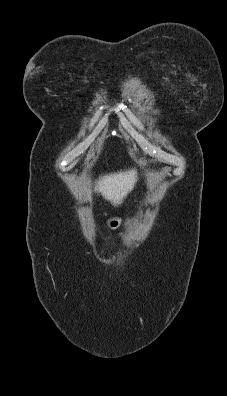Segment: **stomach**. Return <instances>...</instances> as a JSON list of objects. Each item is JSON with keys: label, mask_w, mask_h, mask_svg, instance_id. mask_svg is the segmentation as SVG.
Listing matches in <instances>:
<instances>
[{"label": "stomach", "mask_w": 227, "mask_h": 396, "mask_svg": "<svg viewBox=\"0 0 227 396\" xmlns=\"http://www.w3.org/2000/svg\"><path fill=\"white\" fill-rule=\"evenodd\" d=\"M120 222H121V220L119 219V218H115V217H113V218H109L108 220H107V226L110 228V229H117L118 227H119V225H120Z\"/></svg>", "instance_id": "stomach-1"}]
</instances>
